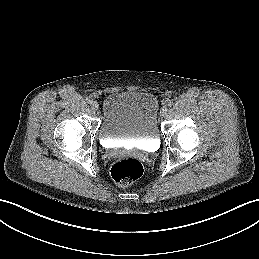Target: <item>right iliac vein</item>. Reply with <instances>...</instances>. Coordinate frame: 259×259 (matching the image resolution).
Returning a JSON list of instances; mask_svg holds the SVG:
<instances>
[{"label":"right iliac vein","instance_id":"63e3f726","mask_svg":"<svg viewBox=\"0 0 259 259\" xmlns=\"http://www.w3.org/2000/svg\"><path fill=\"white\" fill-rule=\"evenodd\" d=\"M91 107H92V109H93L94 111H97L98 108H99L98 102L93 101V102L91 103Z\"/></svg>","mask_w":259,"mask_h":259}]
</instances>
